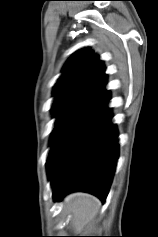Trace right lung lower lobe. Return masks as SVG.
I'll return each mask as SVG.
<instances>
[{
  "label": "right lung lower lobe",
  "instance_id": "obj_1",
  "mask_svg": "<svg viewBox=\"0 0 158 237\" xmlns=\"http://www.w3.org/2000/svg\"><path fill=\"white\" fill-rule=\"evenodd\" d=\"M109 98L105 91L55 127L47 159L55 201L85 191L105 202L119 153Z\"/></svg>",
  "mask_w": 158,
  "mask_h": 237
}]
</instances>
